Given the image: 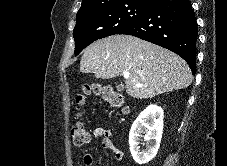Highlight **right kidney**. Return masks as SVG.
Masks as SVG:
<instances>
[{"instance_id":"obj_1","label":"right kidney","mask_w":227,"mask_h":166,"mask_svg":"<svg viewBox=\"0 0 227 166\" xmlns=\"http://www.w3.org/2000/svg\"><path fill=\"white\" fill-rule=\"evenodd\" d=\"M163 109L156 104L143 110L132 124L129 133L130 152L136 163L142 165L151 161L160 147L163 132ZM147 142L146 150L140 151V136Z\"/></svg>"}]
</instances>
